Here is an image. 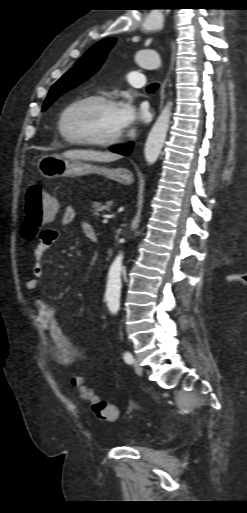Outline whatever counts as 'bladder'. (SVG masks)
I'll use <instances>...</instances> for the list:
<instances>
[{"instance_id":"bladder-1","label":"bladder","mask_w":247,"mask_h":513,"mask_svg":"<svg viewBox=\"0 0 247 513\" xmlns=\"http://www.w3.org/2000/svg\"><path fill=\"white\" fill-rule=\"evenodd\" d=\"M141 444H142V442L133 443V442H129V441H122V442H119L117 446L135 447V446H139Z\"/></svg>"}]
</instances>
